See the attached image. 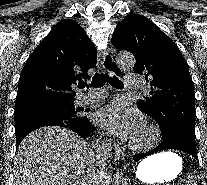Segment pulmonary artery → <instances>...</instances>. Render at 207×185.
Wrapping results in <instances>:
<instances>
[{
  "instance_id": "obj_1",
  "label": "pulmonary artery",
  "mask_w": 207,
  "mask_h": 185,
  "mask_svg": "<svg viewBox=\"0 0 207 185\" xmlns=\"http://www.w3.org/2000/svg\"><path fill=\"white\" fill-rule=\"evenodd\" d=\"M124 81L127 82V91H140L141 77H125ZM107 93L104 91L90 92L83 96V103L90 104L100 102L106 97Z\"/></svg>"
}]
</instances>
